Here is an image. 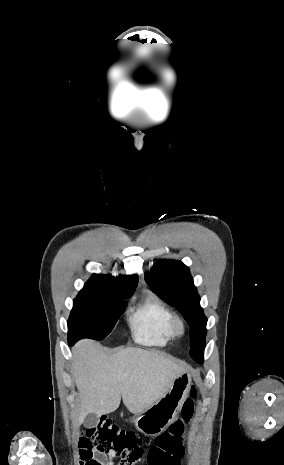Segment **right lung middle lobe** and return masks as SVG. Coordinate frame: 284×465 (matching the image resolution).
Wrapping results in <instances>:
<instances>
[{"label":"right lung middle lobe","mask_w":284,"mask_h":465,"mask_svg":"<svg viewBox=\"0 0 284 465\" xmlns=\"http://www.w3.org/2000/svg\"><path fill=\"white\" fill-rule=\"evenodd\" d=\"M113 292L84 286L73 301L68 319V340L76 342L82 338L104 339L114 328L124 312L123 298Z\"/></svg>","instance_id":"right-lung-middle-lobe-1"}]
</instances>
